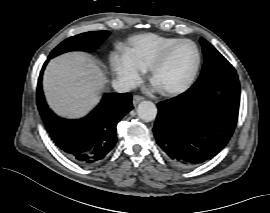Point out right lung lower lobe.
<instances>
[{
  "instance_id": "1",
  "label": "right lung lower lobe",
  "mask_w": 270,
  "mask_h": 213,
  "mask_svg": "<svg viewBox=\"0 0 270 213\" xmlns=\"http://www.w3.org/2000/svg\"><path fill=\"white\" fill-rule=\"evenodd\" d=\"M43 65L37 86V106L45 127L59 149L71 160L91 165L102 161L116 144V125L133 109L130 93L105 94L86 117L67 120L54 114L42 91Z\"/></svg>"
}]
</instances>
